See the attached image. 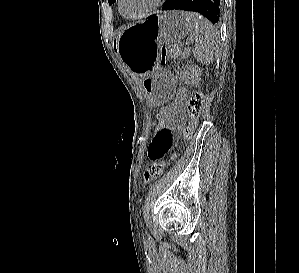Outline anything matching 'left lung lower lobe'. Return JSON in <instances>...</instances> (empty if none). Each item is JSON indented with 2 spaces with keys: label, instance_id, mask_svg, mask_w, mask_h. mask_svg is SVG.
Segmentation results:
<instances>
[{
  "label": "left lung lower lobe",
  "instance_id": "0a47b994",
  "mask_svg": "<svg viewBox=\"0 0 299 273\" xmlns=\"http://www.w3.org/2000/svg\"><path fill=\"white\" fill-rule=\"evenodd\" d=\"M185 10L202 14L213 24L220 17V0H167L162 10Z\"/></svg>",
  "mask_w": 299,
  "mask_h": 273
}]
</instances>
